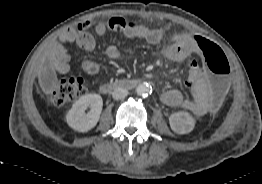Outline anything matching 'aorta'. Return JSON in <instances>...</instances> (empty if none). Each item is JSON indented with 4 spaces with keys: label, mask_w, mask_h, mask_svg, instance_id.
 Segmentation results:
<instances>
[{
    "label": "aorta",
    "mask_w": 262,
    "mask_h": 184,
    "mask_svg": "<svg viewBox=\"0 0 262 184\" xmlns=\"http://www.w3.org/2000/svg\"><path fill=\"white\" fill-rule=\"evenodd\" d=\"M150 91V86L146 83H141L136 87V93L140 96H147Z\"/></svg>",
    "instance_id": "762f6f07"
}]
</instances>
